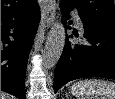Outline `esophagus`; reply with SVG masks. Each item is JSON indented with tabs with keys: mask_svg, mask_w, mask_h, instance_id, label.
Instances as JSON below:
<instances>
[{
	"mask_svg": "<svg viewBox=\"0 0 115 99\" xmlns=\"http://www.w3.org/2000/svg\"><path fill=\"white\" fill-rule=\"evenodd\" d=\"M55 1L54 0H40V6L42 8V22L49 28L53 25L55 19Z\"/></svg>",
	"mask_w": 115,
	"mask_h": 99,
	"instance_id": "obj_1",
	"label": "esophagus"
}]
</instances>
